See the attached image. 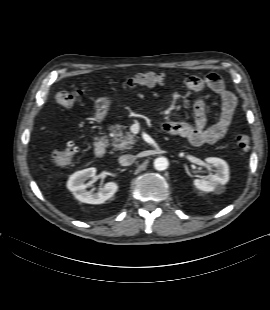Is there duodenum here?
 Segmentation results:
<instances>
[{
  "instance_id": "duodenum-1",
  "label": "duodenum",
  "mask_w": 270,
  "mask_h": 310,
  "mask_svg": "<svg viewBox=\"0 0 270 310\" xmlns=\"http://www.w3.org/2000/svg\"><path fill=\"white\" fill-rule=\"evenodd\" d=\"M107 148V141L104 137L98 138L94 146V155L97 158H102L105 155Z\"/></svg>"
}]
</instances>
